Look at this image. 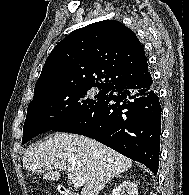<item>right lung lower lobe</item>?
Instances as JSON below:
<instances>
[{
  "label": "right lung lower lobe",
  "instance_id": "obj_1",
  "mask_svg": "<svg viewBox=\"0 0 189 195\" xmlns=\"http://www.w3.org/2000/svg\"><path fill=\"white\" fill-rule=\"evenodd\" d=\"M53 131L95 139L157 174L161 106L148 66L141 75L106 88L93 106Z\"/></svg>",
  "mask_w": 189,
  "mask_h": 195
}]
</instances>
